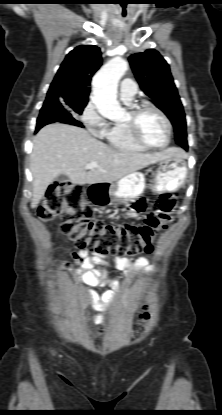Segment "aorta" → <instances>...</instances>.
I'll use <instances>...</instances> for the list:
<instances>
[{"label": "aorta", "mask_w": 222, "mask_h": 415, "mask_svg": "<svg viewBox=\"0 0 222 415\" xmlns=\"http://www.w3.org/2000/svg\"><path fill=\"white\" fill-rule=\"evenodd\" d=\"M128 69V63L121 57L109 60L93 77V97L98 112L108 119L123 116V109L117 101V86Z\"/></svg>", "instance_id": "1"}]
</instances>
